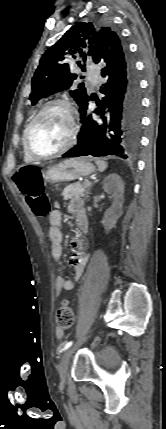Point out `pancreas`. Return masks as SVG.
Segmentation results:
<instances>
[{"mask_svg":"<svg viewBox=\"0 0 166 429\" xmlns=\"http://www.w3.org/2000/svg\"><path fill=\"white\" fill-rule=\"evenodd\" d=\"M89 186L90 185L88 184L80 183L70 184L66 186L62 192L63 199L69 200L74 197H83L86 192V188H88Z\"/></svg>","mask_w":166,"mask_h":429,"instance_id":"1","label":"pancreas"}]
</instances>
